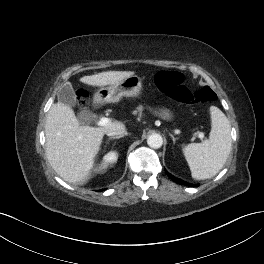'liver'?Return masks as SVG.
Returning <instances> with one entry per match:
<instances>
[{
  "label": "liver",
  "mask_w": 264,
  "mask_h": 264,
  "mask_svg": "<svg viewBox=\"0 0 264 264\" xmlns=\"http://www.w3.org/2000/svg\"><path fill=\"white\" fill-rule=\"evenodd\" d=\"M134 74L133 71H107L84 76L80 81L90 86H106ZM118 129H125L124 124L113 122L98 128L81 126L70 107L53 104L45 122L47 159L63 180L82 185L91 176L104 135Z\"/></svg>",
  "instance_id": "1"
}]
</instances>
